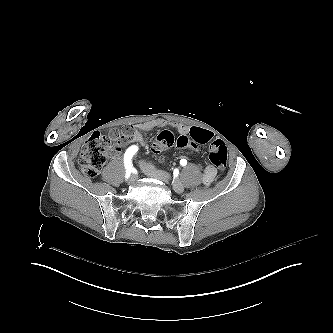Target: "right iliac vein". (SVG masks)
<instances>
[{"label": "right iliac vein", "instance_id": "right-iliac-vein-1", "mask_svg": "<svg viewBox=\"0 0 333 333\" xmlns=\"http://www.w3.org/2000/svg\"><path fill=\"white\" fill-rule=\"evenodd\" d=\"M136 177H137L136 175H133V176L127 181L128 184L132 183V182L135 180Z\"/></svg>", "mask_w": 333, "mask_h": 333}]
</instances>
